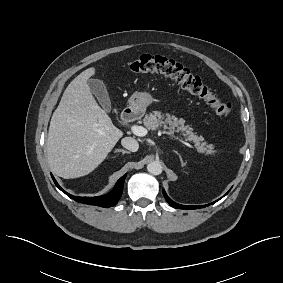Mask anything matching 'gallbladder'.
I'll use <instances>...</instances> for the list:
<instances>
[{"label": "gallbladder", "instance_id": "gallbladder-1", "mask_svg": "<svg viewBox=\"0 0 283 283\" xmlns=\"http://www.w3.org/2000/svg\"><path fill=\"white\" fill-rule=\"evenodd\" d=\"M90 91L95 95L98 99L100 105L103 107L105 111H110L111 109V101L109 97V93L107 91L106 85L102 80L99 79H89L87 81Z\"/></svg>", "mask_w": 283, "mask_h": 283}]
</instances>
